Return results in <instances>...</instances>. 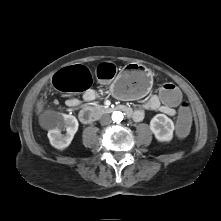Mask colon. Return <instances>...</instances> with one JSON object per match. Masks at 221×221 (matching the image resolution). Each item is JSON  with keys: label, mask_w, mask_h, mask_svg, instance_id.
I'll list each match as a JSON object with an SVG mask.
<instances>
[{"label": "colon", "mask_w": 221, "mask_h": 221, "mask_svg": "<svg viewBox=\"0 0 221 221\" xmlns=\"http://www.w3.org/2000/svg\"><path fill=\"white\" fill-rule=\"evenodd\" d=\"M115 74L116 67L112 63H102L96 69V76L100 80H111ZM92 81V75L86 67L75 65L57 72L52 79V84L59 91L75 93L90 89ZM159 99L167 108L175 109L180 106L179 118L176 120L174 132L178 138H187L193 123L189 105L183 101L179 88L174 84L163 85L159 90ZM42 108L43 103L37 101L35 110L41 111Z\"/></svg>", "instance_id": "5ec220e1"}]
</instances>
